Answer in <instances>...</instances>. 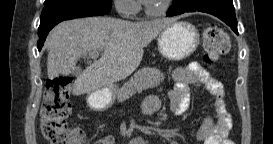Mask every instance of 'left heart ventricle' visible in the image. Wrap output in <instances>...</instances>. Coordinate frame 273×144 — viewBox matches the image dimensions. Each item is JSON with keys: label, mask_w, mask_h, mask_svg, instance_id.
<instances>
[{"label": "left heart ventricle", "mask_w": 273, "mask_h": 144, "mask_svg": "<svg viewBox=\"0 0 273 144\" xmlns=\"http://www.w3.org/2000/svg\"><path fill=\"white\" fill-rule=\"evenodd\" d=\"M165 0H150L147 4L153 8V9H157L158 7H160L162 5V3Z\"/></svg>", "instance_id": "b2bd125f"}]
</instances>
